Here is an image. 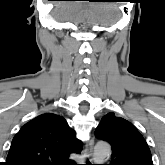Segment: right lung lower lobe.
Here are the masks:
<instances>
[{"mask_svg": "<svg viewBox=\"0 0 165 165\" xmlns=\"http://www.w3.org/2000/svg\"><path fill=\"white\" fill-rule=\"evenodd\" d=\"M61 165H77V164L74 163V161H72V160H68L67 162L62 163Z\"/></svg>", "mask_w": 165, "mask_h": 165, "instance_id": "obj_1", "label": "right lung lower lobe"}]
</instances>
